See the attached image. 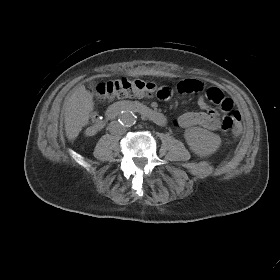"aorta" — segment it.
Returning <instances> with one entry per match:
<instances>
[{
    "mask_svg": "<svg viewBox=\"0 0 280 280\" xmlns=\"http://www.w3.org/2000/svg\"><path fill=\"white\" fill-rule=\"evenodd\" d=\"M136 117L132 111H123L119 116L120 124L131 126L135 123Z\"/></svg>",
    "mask_w": 280,
    "mask_h": 280,
    "instance_id": "obj_1",
    "label": "aorta"
}]
</instances>
